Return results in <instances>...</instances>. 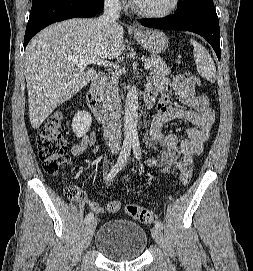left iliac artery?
Segmentation results:
<instances>
[{
    "label": "left iliac artery",
    "instance_id": "44dca946",
    "mask_svg": "<svg viewBox=\"0 0 253 271\" xmlns=\"http://www.w3.org/2000/svg\"><path fill=\"white\" fill-rule=\"evenodd\" d=\"M132 148H133V153L136 157L137 160H141V147H140V142L138 140H133L132 141ZM155 227L159 229H163V224L160 221H155Z\"/></svg>",
    "mask_w": 253,
    "mask_h": 271
}]
</instances>
